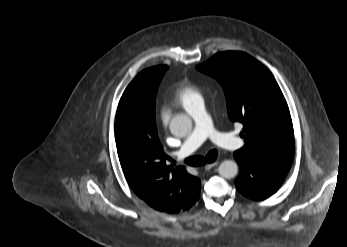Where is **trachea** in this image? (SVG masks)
I'll return each mask as SVG.
<instances>
[{
  "instance_id": "1",
  "label": "trachea",
  "mask_w": 347,
  "mask_h": 247,
  "mask_svg": "<svg viewBox=\"0 0 347 247\" xmlns=\"http://www.w3.org/2000/svg\"><path fill=\"white\" fill-rule=\"evenodd\" d=\"M218 151L217 150H211L205 157L203 156H193L189 157L185 160V163L191 165V166H202L206 163H212L217 159ZM173 163H175L173 161Z\"/></svg>"
}]
</instances>
